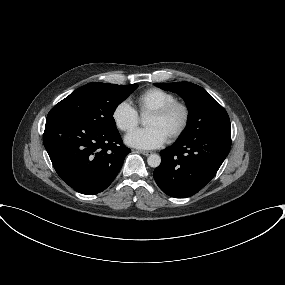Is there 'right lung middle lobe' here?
Returning <instances> with one entry per match:
<instances>
[{"label":"right lung middle lobe","mask_w":285,"mask_h":285,"mask_svg":"<svg viewBox=\"0 0 285 285\" xmlns=\"http://www.w3.org/2000/svg\"><path fill=\"white\" fill-rule=\"evenodd\" d=\"M137 87V84L89 83L60 101L50 112L71 115L98 130L114 131L117 130L112 117L115 109Z\"/></svg>","instance_id":"right-lung-middle-lobe-1"}]
</instances>
